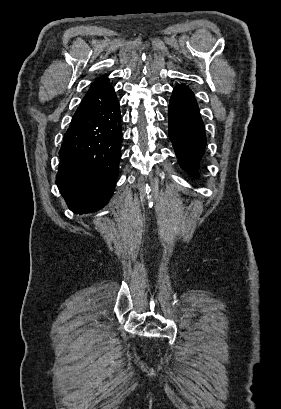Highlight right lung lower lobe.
<instances>
[{
    "label": "right lung lower lobe",
    "mask_w": 281,
    "mask_h": 409,
    "mask_svg": "<svg viewBox=\"0 0 281 409\" xmlns=\"http://www.w3.org/2000/svg\"><path fill=\"white\" fill-rule=\"evenodd\" d=\"M119 101L105 77L89 88L65 134L57 186L74 213H91L110 200L121 158Z\"/></svg>",
    "instance_id": "obj_1"
}]
</instances>
